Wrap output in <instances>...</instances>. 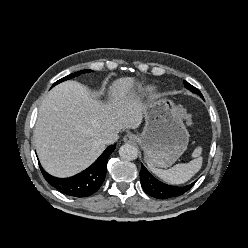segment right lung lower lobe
I'll use <instances>...</instances> for the list:
<instances>
[{
  "instance_id": "obj_1",
  "label": "right lung lower lobe",
  "mask_w": 248,
  "mask_h": 248,
  "mask_svg": "<svg viewBox=\"0 0 248 248\" xmlns=\"http://www.w3.org/2000/svg\"><path fill=\"white\" fill-rule=\"evenodd\" d=\"M115 148V145H110L90 167L69 178L53 177L41 165L40 169L46 181L60 192L74 197H86L95 193L102 185L106 176L108 157Z\"/></svg>"
}]
</instances>
